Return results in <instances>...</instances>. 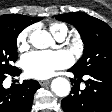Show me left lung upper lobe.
Listing matches in <instances>:
<instances>
[{
  "instance_id": "5c2ea615",
  "label": "left lung upper lobe",
  "mask_w": 112,
  "mask_h": 112,
  "mask_svg": "<svg viewBox=\"0 0 112 112\" xmlns=\"http://www.w3.org/2000/svg\"><path fill=\"white\" fill-rule=\"evenodd\" d=\"M78 30L84 43L83 56L71 68L80 74L112 68V28L105 22L82 12L56 15Z\"/></svg>"
}]
</instances>
